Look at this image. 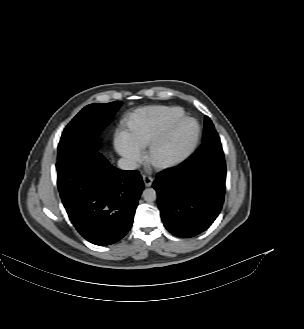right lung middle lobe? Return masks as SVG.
Here are the masks:
<instances>
[{
	"mask_svg": "<svg viewBox=\"0 0 304 329\" xmlns=\"http://www.w3.org/2000/svg\"><path fill=\"white\" fill-rule=\"evenodd\" d=\"M122 102L90 104L84 107L64 129L59 145L57 162L84 151L97 149L98 132L112 119Z\"/></svg>",
	"mask_w": 304,
	"mask_h": 329,
	"instance_id": "dd1d6c3e",
	"label": "right lung middle lobe"
}]
</instances>
